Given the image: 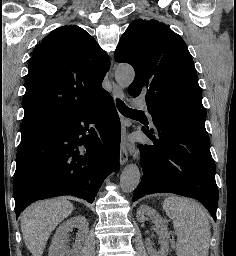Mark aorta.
Instances as JSON below:
<instances>
[{
  "label": "aorta",
  "mask_w": 236,
  "mask_h": 256,
  "mask_svg": "<svg viewBox=\"0 0 236 256\" xmlns=\"http://www.w3.org/2000/svg\"><path fill=\"white\" fill-rule=\"evenodd\" d=\"M135 72L129 65H120L115 71V79L120 87L127 88L134 80ZM140 183V171L137 165H127L120 176L121 189L128 193L136 189Z\"/></svg>",
  "instance_id": "aorta-1"
}]
</instances>
